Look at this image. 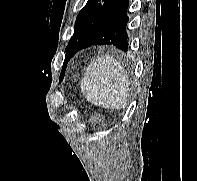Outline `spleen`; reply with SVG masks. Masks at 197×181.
<instances>
[{
    "label": "spleen",
    "instance_id": "1",
    "mask_svg": "<svg viewBox=\"0 0 197 181\" xmlns=\"http://www.w3.org/2000/svg\"><path fill=\"white\" fill-rule=\"evenodd\" d=\"M81 92L96 106L116 110L125 108L129 97L127 72L113 56H98L86 69Z\"/></svg>",
    "mask_w": 197,
    "mask_h": 181
}]
</instances>
